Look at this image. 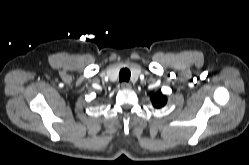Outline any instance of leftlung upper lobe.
Instances as JSON below:
<instances>
[{
	"instance_id": "left-lung-upper-lobe-1",
	"label": "left lung upper lobe",
	"mask_w": 249,
	"mask_h": 165,
	"mask_svg": "<svg viewBox=\"0 0 249 165\" xmlns=\"http://www.w3.org/2000/svg\"><path fill=\"white\" fill-rule=\"evenodd\" d=\"M151 101L155 108H161L166 104L167 98L159 91L151 97Z\"/></svg>"
}]
</instances>
